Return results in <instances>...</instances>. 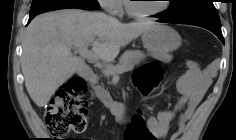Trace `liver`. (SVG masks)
Returning a JSON list of instances; mask_svg holds the SVG:
<instances>
[{"label":"liver","instance_id":"6515ba94","mask_svg":"<svg viewBox=\"0 0 236 140\" xmlns=\"http://www.w3.org/2000/svg\"><path fill=\"white\" fill-rule=\"evenodd\" d=\"M155 23H121L101 12L63 9L38 15L26 28L22 41L21 69L25 86L38 107L84 66L71 48L92 46L103 61H113L121 47L138 38Z\"/></svg>","mask_w":236,"mask_h":140}]
</instances>
